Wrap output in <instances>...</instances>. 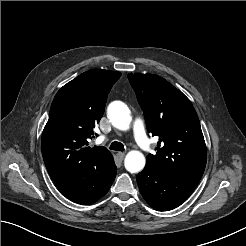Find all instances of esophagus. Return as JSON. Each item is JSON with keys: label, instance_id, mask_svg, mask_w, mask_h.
Listing matches in <instances>:
<instances>
[{"label": "esophagus", "instance_id": "34e87169", "mask_svg": "<svg viewBox=\"0 0 246 246\" xmlns=\"http://www.w3.org/2000/svg\"><path fill=\"white\" fill-rule=\"evenodd\" d=\"M117 157L119 158V159H123L124 158V156H125V153L124 152H118L117 154Z\"/></svg>", "mask_w": 246, "mask_h": 246}]
</instances>
